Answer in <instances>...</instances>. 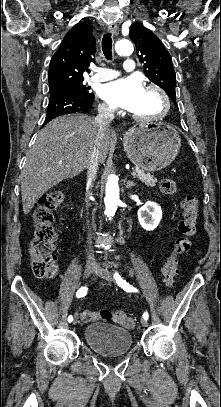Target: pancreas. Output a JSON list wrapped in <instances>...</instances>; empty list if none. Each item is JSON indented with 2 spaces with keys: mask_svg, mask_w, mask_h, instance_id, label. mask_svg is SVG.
Instances as JSON below:
<instances>
[{
  "mask_svg": "<svg viewBox=\"0 0 221 407\" xmlns=\"http://www.w3.org/2000/svg\"><path fill=\"white\" fill-rule=\"evenodd\" d=\"M133 171L135 172L134 176L142 181L146 186H155L156 180L153 176H151L150 173H146L144 170L138 167L133 168Z\"/></svg>",
  "mask_w": 221,
  "mask_h": 407,
  "instance_id": "obj_1",
  "label": "pancreas"
}]
</instances>
